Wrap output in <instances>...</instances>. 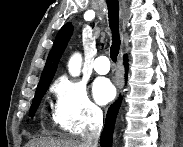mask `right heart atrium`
Wrapping results in <instances>:
<instances>
[{"label": "right heart atrium", "instance_id": "obj_1", "mask_svg": "<svg viewBox=\"0 0 183 147\" xmlns=\"http://www.w3.org/2000/svg\"><path fill=\"white\" fill-rule=\"evenodd\" d=\"M54 118L57 125L72 134H81L97 125L101 110L89 98L86 87L79 81L60 78L53 87Z\"/></svg>", "mask_w": 183, "mask_h": 147}]
</instances>
